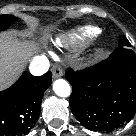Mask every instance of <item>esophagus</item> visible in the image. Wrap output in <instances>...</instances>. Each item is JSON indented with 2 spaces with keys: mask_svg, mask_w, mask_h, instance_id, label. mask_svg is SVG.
<instances>
[{
  "mask_svg": "<svg viewBox=\"0 0 136 136\" xmlns=\"http://www.w3.org/2000/svg\"><path fill=\"white\" fill-rule=\"evenodd\" d=\"M53 78H59L63 75L62 69L59 65H55L52 68Z\"/></svg>",
  "mask_w": 136,
  "mask_h": 136,
  "instance_id": "obj_1",
  "label": "esophagus"
}]
</instances>
